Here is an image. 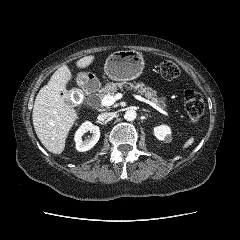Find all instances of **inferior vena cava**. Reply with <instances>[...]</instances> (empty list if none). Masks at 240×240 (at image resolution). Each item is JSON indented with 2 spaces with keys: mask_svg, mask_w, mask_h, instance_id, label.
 <instances>
[{
  "mask_svg": "<svg viewBox=\"0 0 240 240\" xmlns=\"http://www.w3.org/2000/svg\"><path fill=\"white\" fill-rule=\"evenodd\" d=\"M113 115H114V113H112V112H110V113L109 112H104V113L100 114V117L103 120H107V119L113 118Z\"/></svg>",
  "mask_w": 240,
  "mask_h": 240,
  "instance_id": "obj_1",
  "label": "inferior vena cava"
}]
</instances>
